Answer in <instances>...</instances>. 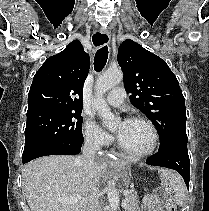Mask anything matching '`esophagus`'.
<instances>
[{"instance_id": "obj_1", "label": "esophagus", "mask_w": 209, "mask_h": 211, "mask_svg": "<svg viewBox=\"0 0 209 211\" xmlns=\"http://www.w3.org/2000/svg\"><path fill=\"white\" fill-rule=\"evenodd\" d=\"M93 44L99 46L101 44H109L111 35L108 31H101L92 38ZM99 159H116V154H109V151H98Z\"/></svg>"}]
</instances>
